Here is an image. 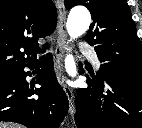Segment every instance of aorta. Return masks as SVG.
Returning <instances> with one entry per match:
<instances>
[{"label":"aorta","instance_id":"aorta-1","mask_svg":"<svg viewBox=\"0 0 142 128\" xmlns=\"http://www.w3.org/2000/svg\"><path fill=\"white\" fill-rule=\"evenodd\" d=\"M91 23V15L85 8L73 9L67 20V31L72 39L80 37L84 34ZM65 69L69 76L77 75L76 63L72 54H68L65 58Z\"/></svg>","mask_w":142,"mask_h":128}]
</instances>
